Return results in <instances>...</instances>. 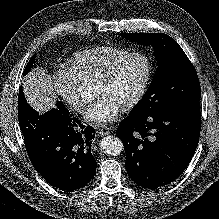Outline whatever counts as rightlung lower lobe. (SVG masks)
I'll return each instance as SVG.
<instances>
[{
  "mask_svg": "<svg viewBox=\"0 0 219 219\" xmlns=\"http://www.w3.org/2000/svg\"><path fill=\"white\" fill-rule=\"evenodd\" d=\"M18 118L24 143L34 168L52 186L73 191L94 176L96 161L91 153L95 130L84 126L64 105L40 115L19 88Z\"/></svg>",
  "mask_w": 219,
  "mask_h": 219,
  "instance_id": "98d812e1",
  "label": "right lung lower lobe"
}]
</instances>
